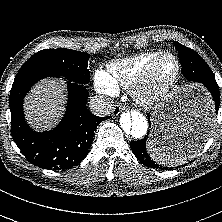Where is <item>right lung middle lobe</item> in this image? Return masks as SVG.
I'll return each mask as SVG.
<instances>
[{"mask_svg":"<svg viewBox=\"0 0 222 222\" xmlns=\"http://www.w3.org/2000/svg\"><path fill=\"white\" fill-rule=\"evenodd\" d=\"M88 53L66 48L44 49L30 57L17 74L44 72L65 77L71 82L88 84L90 72L87 69Z\"/></svg>","mask_w":222,"mask_h":222,"instance_id":"right-lung-middle-lobe-1","label":"right lung middle lobe"}]
</instances>
